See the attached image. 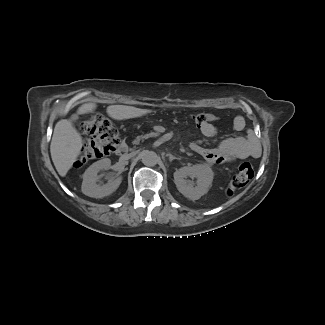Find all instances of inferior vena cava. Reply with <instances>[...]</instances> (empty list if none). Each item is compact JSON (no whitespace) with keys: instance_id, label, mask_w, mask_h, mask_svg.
Wrapping results in <instances>:
<instances>
[{"instance_id":"obj_1","label":"inferior vena cava","mask_w":325,"mask_h":325,"mask_svg":"<svg viewBox=\"0 0 325 325\" xmlns=\"http://www.w3.org/2000/svg\"><path fill=\"white\" fill-rule=\"evenodd\" d=\"M131 157H132L131 154H127V155H124V156H123V158H124L125 160H128V159H130Z\"/></svg>"}]
</instances>
